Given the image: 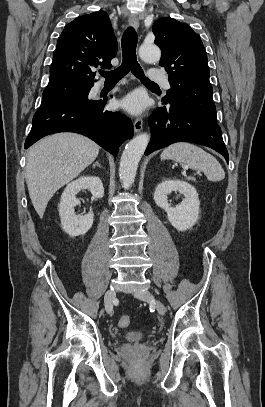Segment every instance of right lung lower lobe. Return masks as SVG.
Returning a JSON list of instances; mask_svg holds the SVG:
<instances>
[{"label": "right lung lower lobe", "mask_w": 265, "mask_h": 407, "mask_svg": "<svg viewBox=\"0 0 265 407\" xmlns=\"http://www.w3.org/2000/svg\"><path fill=\"white\" fill-rule=\"evenodd\" d=\"M92 86L73 101L40 108L33 117L25 148L52 133L76 132L116 156L120 145L133 136L132 122L121 113L105 111L106 100L89 99Z\"/></svg>", "instance_id": "1"}]
</instances>
